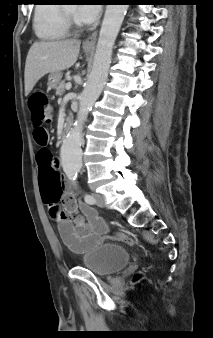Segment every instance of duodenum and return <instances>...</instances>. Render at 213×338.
I'll return each mask as SVG.
<instances>
[{"label": "duodenum", "instance_id": "1", "mask_svg": "<svg viewBox=\"0 0 213 338\" xmlns=\"http://www.w3.org/2000/svg\"><path fill=\"white\" fill-rule=\"evenodd\" d=\"M72 127H73L72 121L69 120V121L66 123V125H65V127H64V130H63V136H64V137L67 136V135L69 134V132H70V130L72 129Z\"/></svg>", "mask_w": 213, "mask_h": 338}]
</instances>
